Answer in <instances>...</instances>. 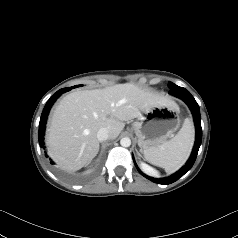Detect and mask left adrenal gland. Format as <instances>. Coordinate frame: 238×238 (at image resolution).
Returning <instances> with one entry per match:
<instances>
[{
    "mask_svg": "<svg viewBox=\"0 0 238 238\" xmlns=\"http://www.w3.org/2000/svg\"><path fill=\"white\" fill-rule=\"evenodd\" d=\"M137 154H138L140 157H142L141 154H140L139 152H137Z\"/></svg>",
    "mask_w": 238,
    "mask_h": 238,
    "instance_id": "obj_1",
    "label": "left adrenal gland"
}]
</instances>
